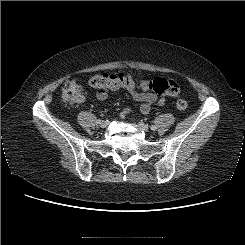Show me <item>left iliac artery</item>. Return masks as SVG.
I'll list each match as a JSON object with an SVG mask.
<instances>
[{
  "label": "left iliac artery",
  "mask_w": 245,
  "mask_h": 245,
  "mask_svg": "<svg viewBox=\"0 0 245 245\" xmlns=\"http://www.w3.org/2000/svg\"><path fill=\"white\" fill-rule=\"evenodd\" d=\"M156 129H157V127H156V126L151 125V130L155 131Z\"/></svg>",
  "instance_id": "44dca946"
}]
</instances>
